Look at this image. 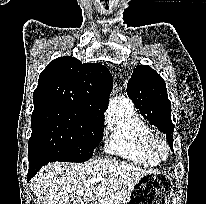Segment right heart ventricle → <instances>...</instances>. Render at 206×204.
<instances>
[{
  "label": "right heart ventricle",
  "instance_id": "right-heart-ventricle-1",
  "mask_svg": "<svg viewBox=\"0 0 206 204\" xmlns=\"http://www.w3.org/2000/svg\"><path fill=\"white\" fill-rule=\"evenodd\" d=\"M106 151L131 163L142 166L158 164L148 153L146 143L153 134L149 125L133 105L122 100L107 120Z\"/></svg>",
  "mask_w": 206,
  "mask_h": 204
}]
</instances>
